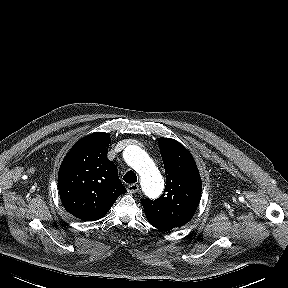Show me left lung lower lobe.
I'll return each mask as SVG.
<instances>
[{"label": "left lung lower lobe", "instance_id": "obj_1", "mask_svg": "<svg viewBox=\"0 0 288 288\" xmlns=\"http://www.w3.org/2000/svg\"><path fill=\"white\" fill-rule=\"evenodd\" d=\"M148 221H149V223H150L152 226H154L155 228H157V229H159V230H161V231L170 230V229L167 228V227L158 225L156 222H154V221H152V220H150V219H148Z\"/></svg>", "mask_w": 288, "mask_h": 288}]
</instances>
